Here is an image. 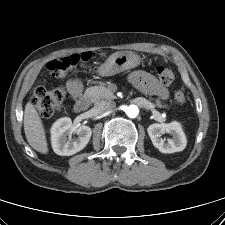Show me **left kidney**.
Returning <instances> with one entry per match:
<instances>
[{"label":"left kidney","instance_id":"1","mask_svg":"<svg viewBox=\"0 0 225 225\" xmlns=\"http://www.w3.org/2000/svg\"><path fill=\"white\" fill-rule=\"evenodd\" d=\"M149 137L153 145L162 153H174L183 151L186 147L187 140L179 122L151 124L147 128ZM165 132L171 134V139L163 140L161 134Z\"/></svg>","mask_w":225,"mask_h":225}]
</instances>
